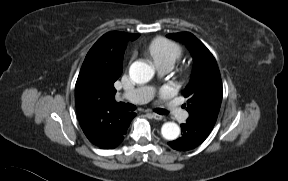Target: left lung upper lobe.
<instances>
[{
    "mask_svg": "<svg viewBox=\"0 0 288 181\" xmlns=\"http://www.w3.org/2000/svg\"><path fill=\"white\" fill-rule=\"evenodd\" d=\"M190 50L195 65L190 83L184 90L190 120L214 126L222 101V82L217 62L207 47L189 32L168 34Z\"/></svg>",
    "mask_w": 288,
    "mask_h": 181,
    "instance_id": "1",
    "label": "left lung upper lobe"
}]
</instances>
